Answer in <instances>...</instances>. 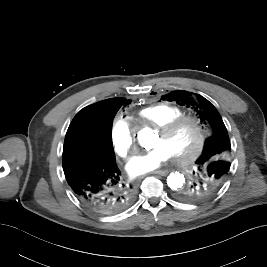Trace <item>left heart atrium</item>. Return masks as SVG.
<instances>
[{
    "label": "left heart atrium",
    "instance_id": "1",
    "mask_svg": "<svg viewBox=\"0 0 267 267\" xmlns=\"http://www.w3.org/2000/svg\"><path fill=\"white\" fill-rule=\"evenodd\" d=\"M171 157V153L162 145L132 157L127 164L131 176H139L158 169Z\"/></svg>",
    "mask_w": 267,
    "mask_h": 267
}]
</instances>
